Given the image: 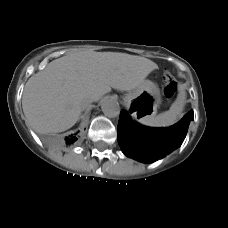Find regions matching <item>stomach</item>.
Listing matches in <instances>:
<instances>
[{"label": "stomach", "instance_id": "stomach-1", "mask_svg": "<svg viewBox=\"0 0 228 228\" xmlns=\"http://www.w3.org/2000/svg\"><path fill=\"white\" fill-rule=\"evenodd\" d=\"M124 100L131 102V106L135 109L134 116L142 121L157 113L161 104L160 90L152 81L144 80L133 92L126 95Z\"/></svg>", "mask_w": 228, "mask_h": 228}]
</instances>
